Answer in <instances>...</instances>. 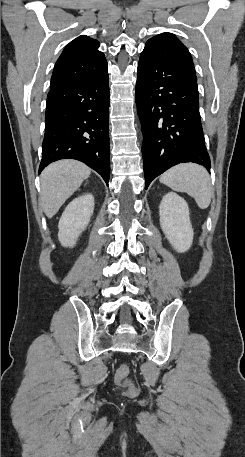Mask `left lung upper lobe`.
<instances>
[{"instance_id":"1","label":"left lung upper lobe","mask_w":245,"mask_h":457,"mask_svg":"<svg viewBox=\"0 0 245 457\" xmlns=\"http://www.w3.org/2000/svg\"><path fill=\"white\" fill-rule=\"evenodd\" d=\"M164 41H169L172 42L173 44L176 45V47L179 49L182 57L186 61V63L189 65V67L195 72L194 69V64L192 61V57L190 55V52L188 49L175 37V35L171 33H163L158 36H155L151 39H149L145 45V49L151 48L154 45H156L159 42H164Z\"/></svg>"}]
</instances>
